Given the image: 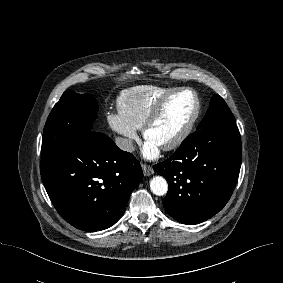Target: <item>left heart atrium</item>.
I'll use <instances>...</instances> for the list:
<instances>
[{
  "mask_svg": "<svg viewBox=\"0 0 283 283\" xmlns=\"http://www.w3.org/2000/svg\"><path fill=\"white\" fill-rule=\"evenodd\" d=\"M143 155L148 159L157 158L159 155V145L147 139L143 146Z\"/></svg>",
  "mask_w": 283,
  "mask_h": 283,
  "instance_id": "left-heart-atrium-1",
  "label": "left heart atrium"
}]
</instances>
